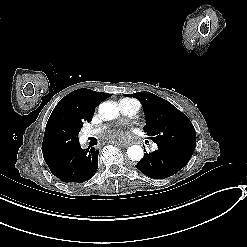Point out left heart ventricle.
Instances as JSON below:
<instances>
[{"mask_svg":"<svg viewBox=\"0 0 247 247\" xmlns=\"http://www.w3.org/2000/svg\"><path fill=\"white\" fill-rule=\"evenodd\" d=\"M118 126L123 129L125 132L131 133V137L135 135L136 133V125L135 123L128 118L127 116H124L122 119L118 121Z\"/></svg>","mask_w":247,"mask_h":247,"instance_id":"left-heart-ventricle-1","label":"left heart ventricle"}]
</instances>
